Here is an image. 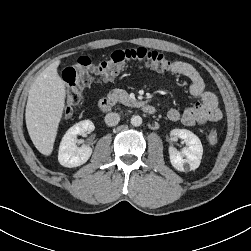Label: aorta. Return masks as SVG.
Instances as JSON below:
<instances>
[{
  "label": "aorta",
  "instance_id": "obj_1",
  "mask_svg": "<svg viewBox=\"0 0 251 251\" xmlns=\"http://www.w3.org/2000/svg\"><path fill=\"white\" fill-rule=\"evenodd\" d=\"M131 124L135 127L140 126L142 124V118L139 115L132 116Z\"/></svg>",
  "mask_w": 251,
  "mask_h": 251
}]
</instances>
